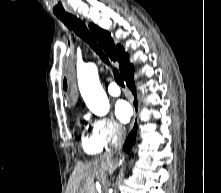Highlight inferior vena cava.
Wrapping results in <instances>:
<instances>
[{
	"label": "inferior vena cava",
	"mask_w": 221,
	"mask_h": 193,
	"mask_svg": "<svg viewBox=\"0 0 221 193\" xmlns=\"http://www.w3.org/2000/svg\"><path fill=\"white\" fill-rule=\"evenodd\" d=\"M124 135H125V130L119 126L117 128V131L114 135L113 141H112V149L113 150H119L123 144L124 141Z\"/></svg>",
	"instance_id": "obj_1"
}]
</instances>
